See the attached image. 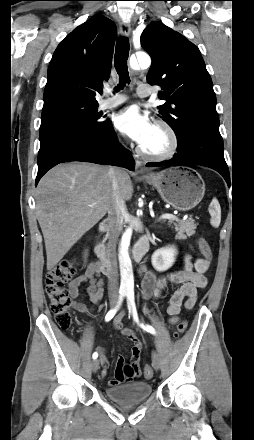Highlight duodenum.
I'll use <instances>...</instances> for the list:
<instances>
[{"label": "duodenum", "mask_w": 254, "mask_h": 440, "mask_svg": "<svg viewBox=\"0 0 254 440\" xmlns=\"http://www.w3.org/2000/svg\"><path fill=\"white\" fill-rule=\"evenodd\" d=\"M113 225L112 219H107L99 224V232L104 233ZM95 253L100 260L99 268L106 276L113 275V267L108 259V252L105 244L97 238L94 245ZM149 249V238L147 236L142 237L134 246L132 251V257L135 262H139Z\"/></svg>", "instance_id": "410a0bca"}]
</instances>
